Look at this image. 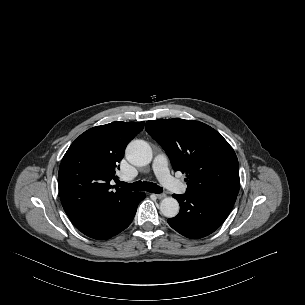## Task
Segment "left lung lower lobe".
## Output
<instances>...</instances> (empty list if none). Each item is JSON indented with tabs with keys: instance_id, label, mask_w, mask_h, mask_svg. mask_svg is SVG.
Instances as JSON below:
<instances>
[{
	"instance_id": "left-lung-lower-lobe-1",
	"label": "left lung lower lobe",
	"mask_w": 305,
	"mask_h": 305,
	"mask_svg": "<svg viewBox=\"0 0 305 305\" xmlns=\"http://www.w3.org/2000/svg\"><path fill=\"white\" fill-rule=\"evenodd\" d=\"M180 204V212L168 219L169 225L180 234L193 239L205 237L218 229L229 215L237 195L173 194Z\"/></svg>"
}]
</instances>
